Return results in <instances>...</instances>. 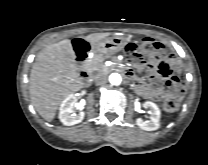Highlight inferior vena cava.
I'll list each match as a JSON object with an SVG mask.
<instances>
[{"instance_id": "inferior-vena-cava-1", "label": "inferior vena cava", "mask_w": 208, "mask_h": 165, "mask_svg": "<svg viewBox=\"0 0 208 165\" xmlns=\"http://www.w3.org/2000/svg\"><path fill=\"white\" fill-rule=\"evenodd\" d=\"M107 82V78L104 75H99L96 77L95 84L96 85H103Z\"/></svg>"}]
</instances>
